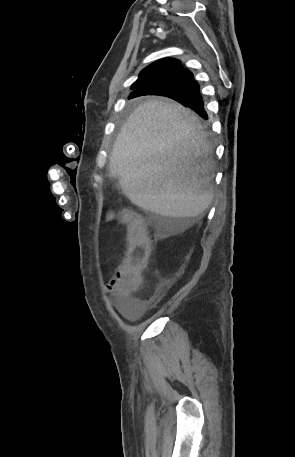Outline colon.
I'll return each mask as SVG.
<instances>
[{
  "label": "colon",
  "mask_w": 295,
  "mask_h": 457,
  "mask_svg": "<svg viewBox=\"0 0 295 457\" xmlns=\"http://www.w3.org/2000/svg\"><path fill=\"white\" fill-rule=\"evenodd\" d=\"M120 218L128 229V249L114 277L120 281L119 292L122 295H130L140 285L141 273L147 265L150 254V240L145 224L138 214L125 211Z\"/></svg>",
  "instance_id": "colon-1"
}]
</instances>
